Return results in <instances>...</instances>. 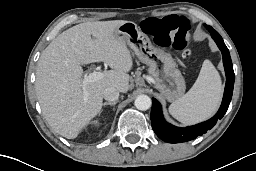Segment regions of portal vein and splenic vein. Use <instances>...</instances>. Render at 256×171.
Instances as JSON below:
<instances>
[{"label": "portal vein and splenic vein", "instance_id": "portal-vein-and-splenic-vein-1", "mask_svg": "<svg viewBox=\"0 0 256 171\" xmlns=\"http://www.w3.org/2000/svg\"><path fill=\"white\" fill-rule=\"evenodd\" d=\"M103 77H104V73L103 72H92L89 75L84 77L83 85L85 86L86 84H88L90 82L98 81V80L102 79ZM87 97H88V93L84 89V101L87 100Z\"/></svg>", "mask_w": 256, "mask_h": 171}]
</instances>
